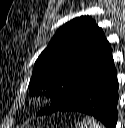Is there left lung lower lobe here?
I'll return each mask as SVG.
<instances>
[{"mask_svg":"<svg viewBox=\"0 0 125 128\" xmlns=\"http://www.w3.org/2000/svg\"><path fill=\"white\" fill-rule=\"evenodd\" d=\"M117 102L118 81L110 50L85 74L71 101L57 111L82 112L113 128L118 117ZM46 114L50 113L46 111L42 115Z\"/></svg>","mask_w":125,"mask_h":128,"instance_id":"1","label":"left lung lower lobe"}]
</instances>
